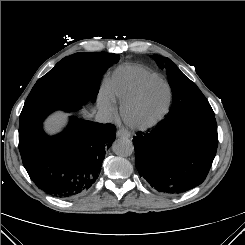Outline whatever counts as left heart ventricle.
I'll return each instance as SVG.
<instances>
[{"instance_id":"left-heart-ventricle-1","label":"left heart ventricle","mask_w":245,"mask_h":245,"mask_svg":"<svg viewBox=\"0 0 245 245\" xmlns=\"http://www.w3.org/2000/svg\"><path fill=\"white\" fill-rule=\"evenodd\" d=\"M166 95V89L162 84H152L145 91L141 101L130 110V116L138 121L152 118L163 107Z\"/></svg>"}]
</instances>
